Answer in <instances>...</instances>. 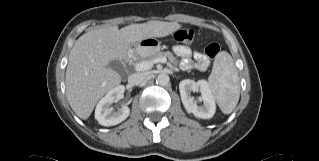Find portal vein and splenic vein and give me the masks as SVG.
<instances>
[{
	"label": "portal vein and splenic vein",
	"instance_id": "1",
	"mask_svg": "<svg viewBox=\"0 0 319 161\" xmlns=\"http://www.w3.org/2000/svg\"><path fill=\"white\" fill-rule=\"evenodd\" d=\"M166 63L167 62V59L166 58H155L153 60H149V61H143V62H140V63H137L135 65V70L136 71H145V70H149L152 68V66L155 64V63Z\"/></svg>",
	"mask_w": 319,
	"mask_h": 161
}]
</instances>
